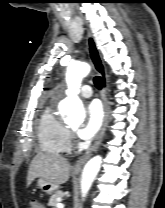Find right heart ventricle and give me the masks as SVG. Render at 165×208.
<instances>
[{
  "label": "right heart ventricle",
  "mask_w": 165,
  "mask_h": 208,
  "mask_svg": "<svg viewBox=\"0 0 165 208\" xmlns=\"http://www.w3.org/2000/svg\"><path fill=\"white\" fill-rule=\"evenodd\" d=\"M39 146L48 154L58 155L70 151V133L52 107H46L37 127Z\"/></svg>",
  "instance_id": "right-heart-ventricle-1"
}]
</instances>
